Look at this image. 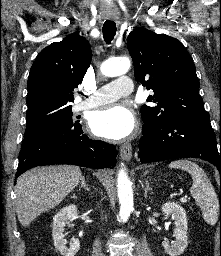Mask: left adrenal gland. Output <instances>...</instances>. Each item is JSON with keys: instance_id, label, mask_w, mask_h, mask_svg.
Listing matches in <instances>:
<instances>
[{"instance_id": "obj_1", "label": "left adrenal gland", "mask_w": 221, "mask_h": 256, "mask_svg": "<svg viewBox=\"0 0 221 256\" xmlns=\"http://www.w3.org/2000/svg\"><path fill=\"white\" fill-rule=\"evenodd\" d=\"M148 191H152V188L149 186V182L146 181L145 193L144 196L147 197Z\"/></svg>"}]
</instances>
